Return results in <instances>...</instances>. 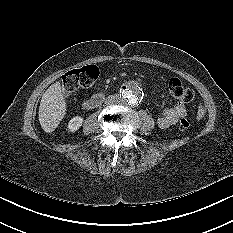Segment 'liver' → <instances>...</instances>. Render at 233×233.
<instances>
[{"label": "liver", "mask_w": 233, "mask_h": 233, "mask_svg": "<svg viewBox=\"0 0 233 233\" xmlns=\"http://www.w3.org/2000/svg\"><path fill=\"white\" fill-rule=\"evenodd\" d=\"M66 114V102L60 82L52 84L42 95L39 106V121L42 129L53 132Z\"/></svg>", "instance_id": "1"}]
</instances>
